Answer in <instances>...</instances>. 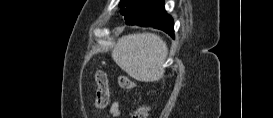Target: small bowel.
Returning <instances> with one entry per match:
<instances>
[{"mask_svg":"<svg viewBox=\"0 0 273 118\" xmlns=\"http://www.w3.org/2000/svg\"><path fill=\"white\" fill-rule=\"evenodd\" d=\"M111 112L113 113L114 116H118L119 115V110H118V104L117 103H113L111 106Z\"/></svg>","mask_w":273,"mask_h":118,"instance_id":"obj_1","label":"small bowel"}]
</instances>
